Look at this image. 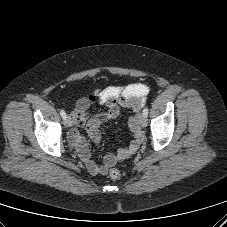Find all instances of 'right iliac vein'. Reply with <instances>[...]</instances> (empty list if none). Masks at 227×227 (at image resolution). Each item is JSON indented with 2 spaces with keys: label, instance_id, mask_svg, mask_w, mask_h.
<instances>
[{
  "label": "right iliac vein",
  "instance_id": "right-iliac-vein-1",
  "mask_svg": "<svg viewBox=\"0 0 227 227\" xmlns=\"http://www.w3.org/2000/svg\"><path fill=\"white\" fill-rule=\"evenodd\" d=\"M64 124L66 127H72L73 122L72 119L70 118V116H66V118L64 119Z\"/></svg>",
  "mask_w": 227,
  "mask_h": 227
}]
</instances>
